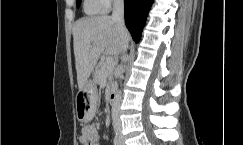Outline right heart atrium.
Masks as SVG:
<instances>
[{"label": "right heart atrium", "instance_id": "1", "mask_svg": "<svg viewBox=\"0 0 243 145\" xmlns=\"http://www.w3.org/2000/svg\"><path fill=\"white\" fill-rule=\"evenodd\" d=\"M120 0H101L102 4L105 8H109L113 3L118 2Z\"/></svg>", "mask_w": 243, "mask_h": 145}]
</instances>
